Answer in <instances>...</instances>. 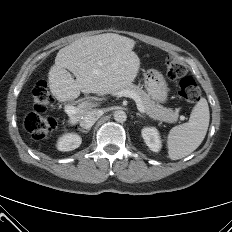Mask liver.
<instances>
[{
  "instance_id": "obj_1",
  "label": "liver",
  "mask_w": 232,
  "mask_h": 232,
  "mask_svg": "<svg viewBox=\"0 0 232 232\" xmlns=\"http://www.w3.org/2000/svg\"><path fill=\"white\" fill-rule=\"evenodd\" d=\"M135 41L114 33L78 39L62 48L48 73V86L60 102L74 100L80 92L111 94L132 84L140 67L133 51ZM74 74L76 80L70 72ZM97 103L82 102L69 124H77Z\"/></svg>"
}]
</instances>
